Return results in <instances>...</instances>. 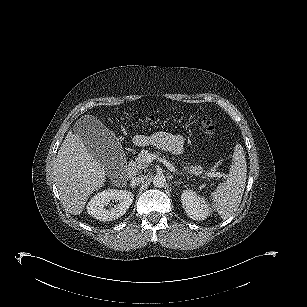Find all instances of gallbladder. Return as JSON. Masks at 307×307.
Segmentation results:
<instances>
[{"label": "gallbladder", "instance_id": "1", "mask_svg": "<svg viewBox=\"0 0 307 307\" xmlns=\"http://www.w3.org/2000/svg\"><path fill=\"white\" fill-rule=\"evenodd\" d=\"M78 133L87 149L106 166L112 159L120 157L122 149L117 139L92 118L86 119Z\"/></svg>", "mask_w": 307, "mask_h": 307}]
</instances>
